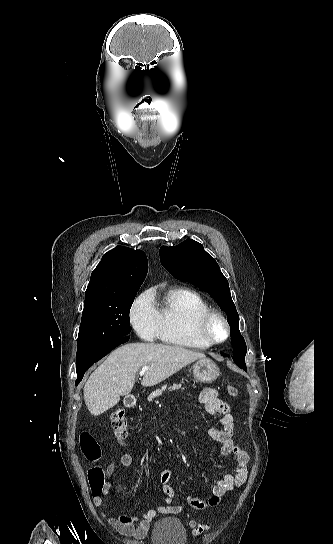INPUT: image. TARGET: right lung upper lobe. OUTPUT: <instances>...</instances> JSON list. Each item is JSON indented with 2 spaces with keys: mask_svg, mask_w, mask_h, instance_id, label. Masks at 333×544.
I'll return each mask as SVG.
<instances>
[{
  "mask_svg": "<svg viewBox=\"0 0 333 544\" xmlns=\"http://www.w3.org/2000/svg\"><path fill=\"white\" fill-rule=\"evenodd\" d=\"M147 270V257L141 250L118 246L108 251L91 274L85 302L138 290Z\"/></svg>",
  "mask_w": 333,
  "mask_h": 544,
  "instance_id": "1",
  "label": "right lung upper lobe"
}]
</instances>
